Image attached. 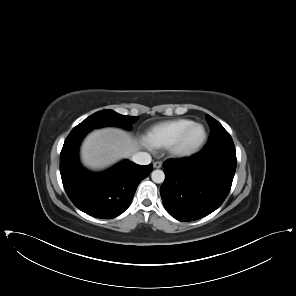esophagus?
Here are the masks:
<instances>
[{"label":"esophagus","instance_id":"esophagus-1","mask_svg":"<svg viewBox=\"0 0 296 296\" xmlns=\"http://www.w3.org/2000/svg\"><path fill=\"white\" fill-rule=\"evenodd\" d=\"M153 167L156 169H159L162 167V162L161 161H156L153 163Z\"/></svg>","mask_w":296,"mask_h":296}]
</instances>
